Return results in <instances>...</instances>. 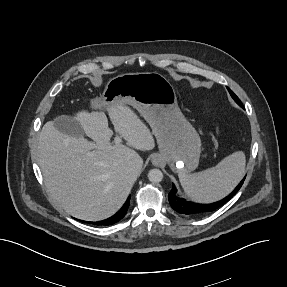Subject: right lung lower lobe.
I'll return each instance as SVG.
<instances>
[{"label":"right lung lower lobe","instance_id":"98d812e1","mask_svg":"<svg viewBox=\"0 0 287 287\" xmlns=\"http://www.w3.org/2000/svg\"><path fill=\"white\" fill-rule=\"evenodd\" d=\"M130 198L131 196L128 197L127 201L125 202V204L123 205V207L112 217L99 221V222H92V224L95 225H101V226H108V225H112L118 221H120L126 214L128 207H129V202H130ZM86 222V221H83Z\"/></svg>","mask_w":287,"mask_h":287}]
</instances>
